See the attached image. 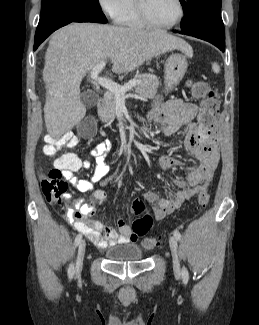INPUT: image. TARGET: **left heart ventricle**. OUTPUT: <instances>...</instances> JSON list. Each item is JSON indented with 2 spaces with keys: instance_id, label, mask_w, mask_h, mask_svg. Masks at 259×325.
Instances as JSON below:
<instances>
[{
  "instance_id": "b2bd125f",
  "label": "left heart ventricle",
  "mask_w": 259,
  "mask_h": 325,
  "mask_svg": "<svg viewBox=\"0 0 259 325\" xmlns=\"http://www.w3.org/2000/svg\"><path fill=\"white\" fill-rule=\"evenodd\" d=\"M144 5L150 19L157 24H170L178 15L175 0H144Z\"/></svg>"
}]
</instances>
